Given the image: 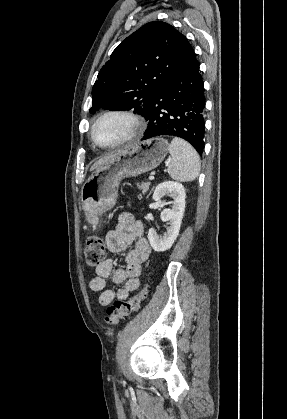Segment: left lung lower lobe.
Returning a JSON list of instances; mask_svg holds the SVG:
<instances>
[{
    "mask_svg": "<svg viewBox=\"0 0 287 419\" xmlns=\"http://www.w3.org/2000/svg\"><path fill=\"white\" fill-rule=\"evenodd\" d=\"M204 85L195 60L167 82L154 96L145 118L149 121L142 140L175 136L187 140L201 155L204 149Z\"/></svg>",
    "mask_w": 287,
    "mask_h": 419,
    "instance_id": "0a47b994",
    "label": "left lung lower lobe"
}]
</instances>
